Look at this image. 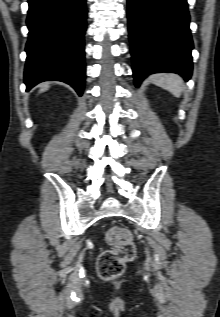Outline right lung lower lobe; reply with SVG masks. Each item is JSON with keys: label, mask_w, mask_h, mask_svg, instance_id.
Segmentation results:
<instances>
[{"label": "right lung lower lobe", "mask_w": 220, "mask_h": 317, "mask_svg": "<svg viewBox=\"0 0 220 317\" xmlns=\"http://www.w3.org/2000/svg\"><path fill=\"white\" fill-rule=\"evenodd\" d=\"M86 0H28L24 82L27 91L42 81L71 85L81 96L85 83Z\"/></svg>", "instance_id": "right-lung-lower-lobe-1"}]
</instances>
